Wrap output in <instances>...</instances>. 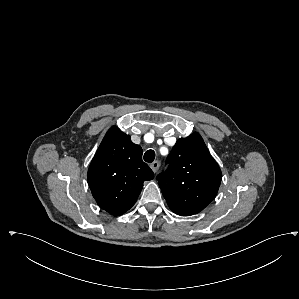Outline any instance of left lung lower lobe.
Segmentation results:
<instances>
[{
	"instance_id": "1",
	"label": "left lung lower lobe",
	"mask_w": 299,
	"mask_h": 299,
	"mask_svg": "<svg viewBox=\"0 0 299 299\" xmlns=\"http://www.w3.org/2000/svg\"><path fill=\"white\" fill-rule=\"evenodd\" d=\"M174 212V211H173ZM174 213H176V214H178V215H181V216H187V215H184V214H181V213H178V212H174Z\"/></svg>"
}]
</instances>
